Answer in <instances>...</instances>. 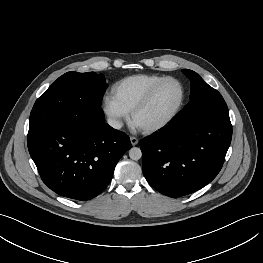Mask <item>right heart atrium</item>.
Segmentation results:
<instances>
[{
	"mask_svg": "<svg viewBox=\"0 0 263 263\" xmlns=\"http://www.w3.org/2000/svg\"><path fill=\"white\" fill-rule=\"evenodd\" d=\"M103 112L108 118L110 124L118 128L122 121L127 117V112H125L111 97V95H106L103 99L102 104Z\"/></svg>",
	"mask_w": 263,
	"mask_h": 263,
	"instance_id": "1",
	"label": "right heart atrium"
}]
</instances>
